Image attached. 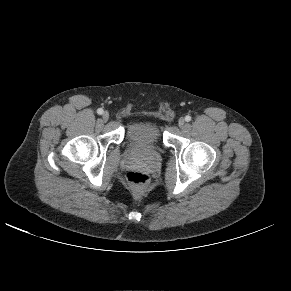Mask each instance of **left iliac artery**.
I'll use <instances>...</instances> for the list:
<instances>
[{"label":"left iliac artery","mask_w":291,"mask_h":291,"mask_svg":"<svg viewBox=\"0 0 291 291\" xmlns=\"http://www.w3.org/2000/svg\"><path fill=\"white\" fill-rule=\"evenodd\" d=\"M185 121H187V122L191 121V116L187 115V116L185 117Z\"/></svg>","instance_id":"obj_1"}]
</instances>
